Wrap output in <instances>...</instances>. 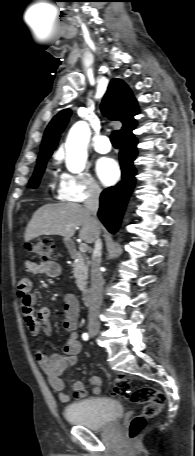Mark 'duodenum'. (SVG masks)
I'll return each instance as SVG.
<instances>
[{
    "label": "duodenum",
    "instance_id": "obj_1",
    "mask_svg": "<svg viewBox=\"0 0 195 456\" xmlns=\"http://www.w3.org/2000/svg\"><path fill=\"white\" fill-rule=\"evenodd\" d=\"M66 247L67 249L74 254L75 253V247L72 241H67L66 242ZM82 301L85 305H89L91 302V292L89 289H84L82 292Z\"/></svg>",
    "mask_w": 195,
    "mask_h": 456
}]
</instances>
